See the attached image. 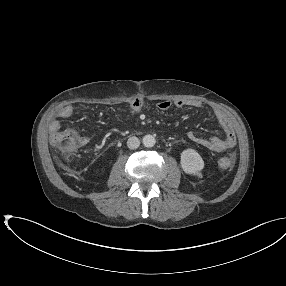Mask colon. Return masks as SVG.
Returning a JSON list of instances; mask_svg holds the SVG:
<instances>
[{
	"instance_id": "obj_1",
	"label": "colon",
	"mask_w": 286,
	"mask_h": 286,
	"mask_svg": "<svg viewBox=\"0 0 286 286\" xmlns=\"http://www.w3.org/2000/svg\"><path fill=\"white\" fill-rule=\"evenodd\" d=\"M51 141L65 157L75 154L86 143L85 138L73 130L56 131L51 136ZM234 163L235 155L219 160V166L222 169H230Z\"/></svg>"
}]
</instances>
